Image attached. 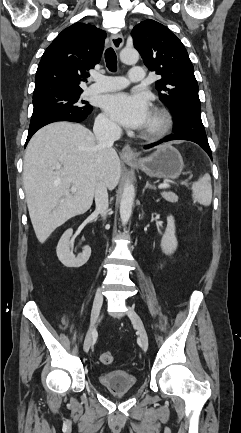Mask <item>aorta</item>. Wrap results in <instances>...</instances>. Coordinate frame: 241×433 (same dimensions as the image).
<instances>
[{
  "label": "aorta",
  "mask_w": 241,
  "mask_h": 433,
  "mask_svg": "<svg viewBox=\"0 0 241 433\" xmlns=\"http://www.w3.org/2000/svg\"><path fill=\"white\" fill-rule=\"evenodd\" d=\"M120 60L125 64H135L139 60V53L133 48H124L120 52ZM134 196L135 187L133 183L127 182L120 201V218L123 226L128 223L131 217Z\"/></svg>",
  "instance_id": "762f6f07"
}]
</instances>
